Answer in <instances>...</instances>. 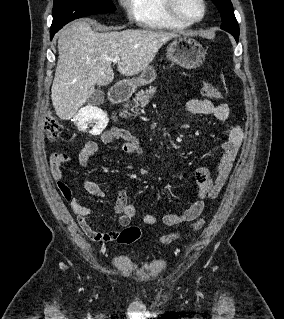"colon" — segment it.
<instances>
[{
	"mask_svg": "<svg viewBox=\"0 0 284 319\" xmlns=\"http://www.w3.org/2000/svg\"><path fill=\"white\" fill-rule=\"evenodd\" d=\"M201 93L203 96L214 99V100H219L222 98V94L220 90L214 86L211 83L204 82L201 86ZM63 126L62 124L54 117L53 115H47L44 120V132L46 137L49 140H54L59 136V134L62 132ZM205 224L204 219H199L196 222H194L191 226V231H197L201 229ZM141 236V232L139 228L130 226L126 227L125 229L121 230L119 233V236L117 238V241L119 243L123 244H130L135 241H137ZM179 237V234L173 233V234H168L163 237H161L160 242L163 245H168L175 239Z\"/></svg>",
	"mask_w": 284,
	"mask_h": 319,
	"instance_id": "5ec220e1",
	"label": "colon"
}]
</instances>
